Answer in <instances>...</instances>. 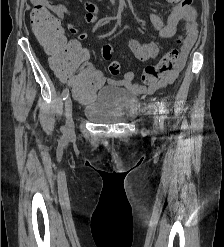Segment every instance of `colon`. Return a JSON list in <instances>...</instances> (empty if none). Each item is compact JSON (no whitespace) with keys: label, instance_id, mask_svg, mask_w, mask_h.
<instances>
[{"label":"colon","instance_id":"obj_1","mask_svg":"<svg viewBox=\"0 0 224 247\" xmlns=\"http://www.w3.org/2000/svg\"><path fill=\"white\" fill-rule=\"evenodd\" d=\"M32 30L38 41L53 55V67L57 74L73 88L74 94L81 102L94 98L100 79L95 70L86 65L89 52L76 41H67L58 20L48 7L36 6L31 13ZM182 43V40L179 41ZM113 48L105 45L102 56L110 61L109 72L117 76L121 73L119 62L111 60ZM179 58L177 49L168 51L155 65H149L143 73V82L152 84L161 76L171 71Z\"/></svg>","mask_w":224,"mask_h":247}]
</instances>
